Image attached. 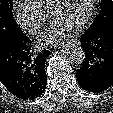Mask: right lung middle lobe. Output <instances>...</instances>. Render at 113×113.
I'll return each instance as SVG.
<instances>
[{
  "instance_id": "obj_1",
  "label": "right lung middle lobe",
  "mask_w": 113,
  "mask_h": 113,
  "mask_svg": "<svg viewBox=\"0 0 113 113\" xmlns=\"http://www.w3.org/2000/svg\"><path fill=\"white\" fill-rule=\"evenodd\" d=\"M13 0H0V43L22 33L12 14Z\"/></svg>"
}]
</instances>
